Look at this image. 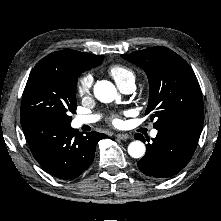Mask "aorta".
Wrapping results in <instances>:
<instances>
[{"instance_id":"762f6f07","label":"aorta","mask_w":221,"mask_h":221,"mask_svg":"<svg viewBox=\"0 0 221 221\" xmlns=\"http://www.w3.org/2000/svg\"><path fill=\"white\" fill-rule=\"evenodd\" d=\"M95 97L103 103H110L117 98V90L115 86L107 81H98L94 86ZM146 151L145 145L141 141H133L128 146V153L133 158H141Z\"/></svg>"}]
</instances>
